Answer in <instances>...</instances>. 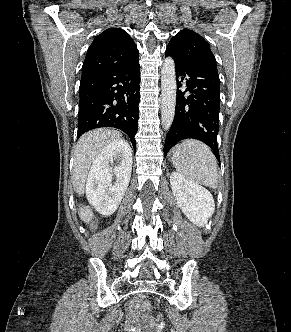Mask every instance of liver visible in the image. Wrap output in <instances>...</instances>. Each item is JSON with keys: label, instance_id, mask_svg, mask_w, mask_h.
<instances>
[{"label": "liver", "instance_id": "6515ba94", "mask_svg": "<svg viewBox=\"0 0 291 332\" xmlns=\"http://www.w3.org/2000/svg\"><path fill=\"white\" fill-rule=\"evenodd\" d=\"M123 141L121 134L112 129H96L82 135L78 140L74 151V165L72 174V183L74 191L83 195L85 191V182L88 176L89 169L101 152L107 145ZM130 148V147H129ZM130 152L132 150L130 148ZM79 217L86 224H89L92 229L96 228L93 220V212L87 206H80L78 210Z\"/></svg>", "mask_w": 291, "mask_h": 332}]
</instances>
